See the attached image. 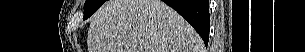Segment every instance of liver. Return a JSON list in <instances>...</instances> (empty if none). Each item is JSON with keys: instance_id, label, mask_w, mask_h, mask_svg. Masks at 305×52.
I'll return each mask as SVG.
<instances>
[{"instance_id": "1", "label": "liver", "mask_w": 305, "mask_h": 52, "mask_svg": "<svg viewBox=\"0 0 305 52\" xmlns=\"http://www.w3.org/2000/svg\"><path fill=\"white\" fill-rule=\"evenodd\" d=\"M88 52H203L196 31L160 0H108L93 15Z\"/></svg>"}]
</instances>
